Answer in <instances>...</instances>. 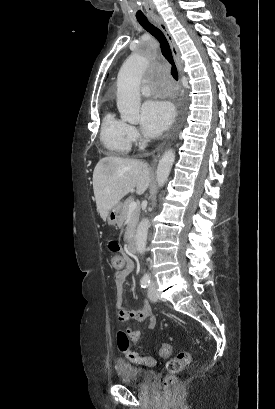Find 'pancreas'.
Here are the masks:
<instances>
[{
  "instance_id": "obj_1",
  "label": "pancreas",
  "mask_w": 275,
  "mask_h": 409,
  "mask_svg": "<svg viewBox=\"0 0 275 409\" xmlns=\"http://www.w3.org/2000/svg\"><path fill=\"white\" fill-rule=\"evenodd\" d=\"M134 198L133 196H129V198H126L125 202H123L122 205V213L120 215V219L118 221V227H122L124 221H127V215L129 213V205L130 202H133ZM139 213H140V207L138 205V207H136V209H134V211H132V215H131V221L129 223V225H127L126 227V233L124 235V241H130L132 235H134L135 233V229L138 225V221H139Z\"/></svg>"
}]
</instances>
